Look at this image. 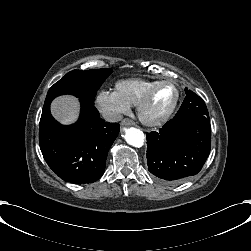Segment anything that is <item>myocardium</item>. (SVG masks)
Instances as JSON below:
<instances>
[{"label":"myocardium","instance_id":"myocardium-1","mask_svg":"<svg viewBox=\"0 0 251 251\" xmlns=\"http://www.w3.org/2000/svg\"><path fill=\"white\" fill-rule=\"evenodd\" d=\"M165 82H172L177 86L178 92H179L178 100L176 104L174 105V107L170 111H168L166 114L161 116L160 118L158 119L150 118L147 115V107L152 99L153 94L157 90V88ZM183 99H184V87L181 84L167 77L161 78L157 80L156 82H154L145 92L143 98L140 100V102L137 105V115L140 121L147 126H150V127L161 126L165 124L167 121H169L173 117V115L178 111V109L180 108L183 102Z\"/></svg>","mask_w":251,"mask_h":251}]
</instances>
